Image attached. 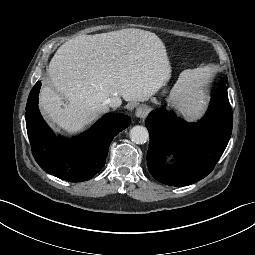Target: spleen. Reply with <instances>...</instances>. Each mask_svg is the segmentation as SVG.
Here are the masks:
<instances>
[{"label": "spleen", "instance_id": "3e777b00", "mask_svg": "<svg viewBox=\"0 0 255 255\" xmlns=\"http://www.w3.org/2000/svg\"><path fill=\"white\" fill-rule=\"evenodd\" d=\"M213 77L209 66L183 71L171 92V107L189 121L202 117L207 107L206 87Z\"/></svg>", "mask_w": 255, "mask_h": 255}]
</instances>
